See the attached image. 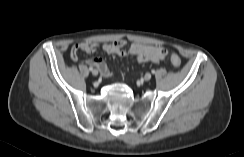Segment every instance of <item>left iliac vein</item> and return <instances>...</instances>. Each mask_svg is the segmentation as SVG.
<instances>
[{"label":"left iliac vein","instance_id":"4c4485c4","mask_svg":"<svg viewBox=\"0 0 244 157\" xmlns=\"http://www.w3.org/2000/svg\"><path fill=\"white\" fill-rule=\"evenodd\" d=\"M151 79V74L150 73H146L144 76V80L145 81H149Z\"/></svg>","mask_w":244,"mask_h":157}]
</instances>
